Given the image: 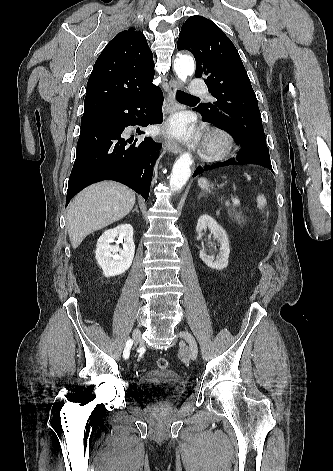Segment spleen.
Returning a JSON list of instances; mask_svg holds the SVG:
<instances>
[{
	"instance_id": "spleen-1",
	"label": "spleen",
	"mask_w": 333,
	"mask_h": 471,
	"mask_svg": "<svg viewBox=\"0 0 333 471\" xmlns=\"http://www.w3.org/2000/svg\"><path fill=\"white\" fill-rule=\"evenodd\" d=\"M257 204L259 208H262L266 205V198L264 195L257 196Z\"/></svg>"
}]
</instances>
